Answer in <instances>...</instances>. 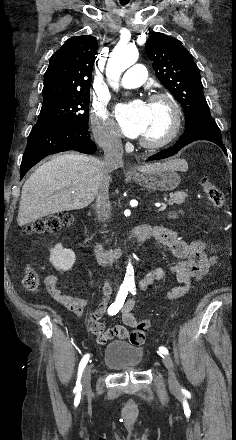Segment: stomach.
Returning <instances> with one entry per match:
<instances>
[{"mask_svg":"<svg viewBox=\"0 0 236 440\" xmlns=\"http://www.w3.org/2000/svg\"><path fill=\"white\" fill-rule=\"evenodd\" d=\"M179 168L159 167L154 170L136 173L133 180L140 186L152 191H169L178 187L181 181L177 171L187 169L185 161Z\"/></svg>","mask_w":236,"mask_h":440,"instance_id":"stomach-1","label":"stomach"}]
</instances>
